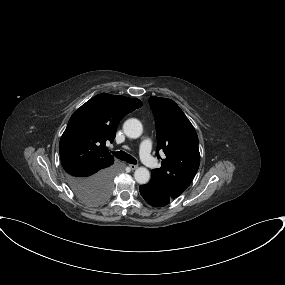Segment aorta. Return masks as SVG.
Segmentation results:
<instances>
[{
	"label": "aorta",
	"mask_w": 285,
	"mask_h": 285,
	"mask_svg": "<svg viewBox=\"0 0 285 285\" xmlns=\"http://www.w3.org/2000/svg\"><path fill=\"white\" fill-rule=\"evenodd\" d=\"M123 130L127 137L136 139L141 136L143 127L138 119L131 118L124 122ZM134 178L139 184H146L150 179V172L145 167H139L134 172Z\"/></svg>",
	"instance_id": "aorta-1"
}]
</instances>
